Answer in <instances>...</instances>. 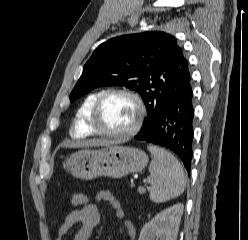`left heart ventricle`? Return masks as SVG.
I'll return each mask as SVG.
<instances>
[{
	"mask_svg": "<svg viewBox=\"0 0 248 240\" xmlns=\"http://www.w3.org/2000/svg\"><path fill=\"white\" fill-rule=\"evenodd\" d=\"M136 117V105L129 97L113 95L101 107L99 127L109 132H123L132 127Z\"/></svg>",
	"mask_w": 248,
	"mask_h": 240,
	"instance_id": "left-heart-ventricle-1",
	"label": "left heart ventricle"
}]
</instances>
